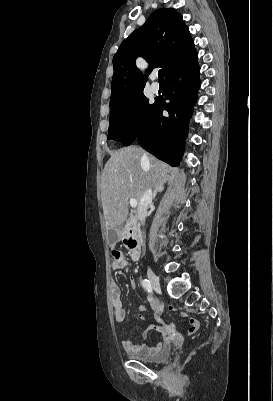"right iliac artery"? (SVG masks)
Here are the masks:
<instances>
[{"label":"right iliac artery","instance_id":"1","mask_svg":"<svg viewBox=\"0 0 273 401\" xmlns=\"http://www.w3.org/2000/svg\"><path fill=\"white\" fill-rule=\"evenodd\" d=\"M142 286H143L148 292H151V291H152V286H151V283H150L149 280L144 279V280L142 281Z\"/></svg>","mask_w":273,"mask_h":401}]
</instances>
